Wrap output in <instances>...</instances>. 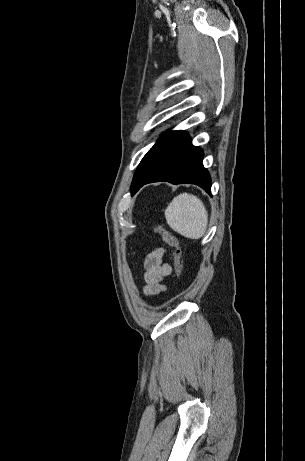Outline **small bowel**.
I'll return each instance as SVG.
<instances>
[{
	"mask_svg": "<svg viewBox=\"0 0 305 461\" xmlns=\"http://www.w3.org/2000/svg\"><path fill=\"white\" fill-rule=\"evenodd\" d=\"M165 253L166 250L163 247H158L149 250L145 255L142 291L146 297L157 296L165 290L162 281L170 275L172 270L171 265L163 261Z\"/></svg>",
	"mask_w": 305,
	"mask_h": 461,
	"instance_id": "1",
	"label": "small bowel"
}]
</instances>
